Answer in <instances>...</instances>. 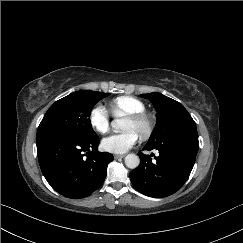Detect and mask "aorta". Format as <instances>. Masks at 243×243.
Returning <instances> with one entry per match:
<instances>
[{"instance_id": "762f6f07", "label": "aorta", "mask_w": 243, "mask_h": 243, "mask_svg": "<svg viewBox=\"0 0 243 243\" xmlns=\"http://www.w3.org/2000/svg\"><path fill=\"white\" fill-rule=\"evenodd\" d=\"M111 126L114 132H120L124 129L123 121L121 119H115L111 122ZM140 164V158L135 154H128L125 157V165L130 169H135Z\"/></svg>"}]
</instances>
